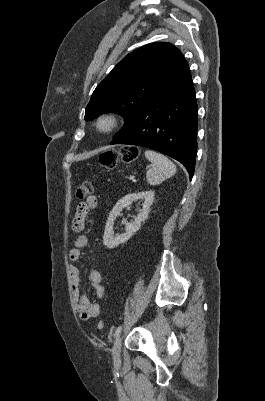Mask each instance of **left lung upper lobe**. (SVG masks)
Masks as SVG:
<instances>
[{
  "label": "left lung upper lobe",
  "instance_id": "1",
  "mask_svg": "<svg viewBox=\"0 0 265 401\" xmlns=\"http://www.w3.org/2000/svg\"><path fill=\"white\" fill-rule=\"evenodd\" d=\"M187 67L183 54L170 43H150L134 50L98 84L86 107L85 120L107 112L121 114L125 125L120 134Z\"/></svg>",
  "mask_w": 265,
  "mask_h": 401
}]
</instances>
